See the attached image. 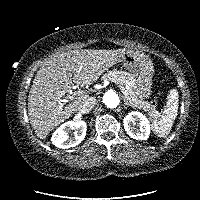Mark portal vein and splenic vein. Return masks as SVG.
I'll return each mask as SVG.
<instances>
[{"instance_id":"portal-vein-and-splenic-vein-1","label":"portal vein and splenic vein","mask_w":200,"mask_h":200,"mask_svg":"<svg viewBox=\"0 0 200 200\" xmlns=\"http://www.w3.org/2000/svg\"><path fill=\"white\" fill-rule=\"evenodd\" d=\"M111 81L114 82V83H116L117 85H119V87H120V89L122 90V93L125 95V97H126L127 99H129L130 102H132V100L130 99V97H129V95H128V90H126V89L121 85V83H120L118 80L113 79V80H111ZM77 93H81V91H77V92L73 93V95L70 96L69 99H70V100H73L74 96H75ZM63 102H67V100H63Z\"/></svg>"}]
</instances>
